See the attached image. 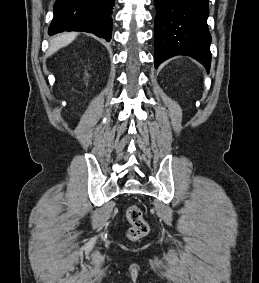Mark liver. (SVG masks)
I'll list each match as a JSON object with an SVG mask.
<instances>
[{
    "label": "liver",
    "instance_id": "1",
    "mask_svg": "<svg viewBox=\"0 0 259 283\" xmlns=\"http://www.w3.org/2000/svg\"><path fill=\"white\" fill-rule=\"evenodd\" d=\"M77 33H64L58 35L50 40V47L48 50V56H51L57 52L60 48L70 44L77 36Z\"/></svg>",
    "mask_w": 259,
    "mask_h": 283
}]
</instances>
